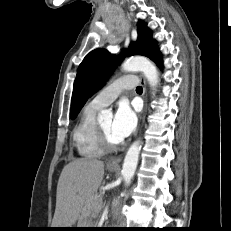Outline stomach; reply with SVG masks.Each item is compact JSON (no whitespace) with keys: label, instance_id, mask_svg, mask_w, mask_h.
Here are the masks:
<instances>
[{"label":"stomach","instance_id":"0dacf381","mask_svg":"<svg viewBox=\"0 0 231 231\" xmlns=\"http://www.w3.org/2000/svg\"><path fill=\"white\" fill-rule=\"evenodd\" d=\"M108 170L110 171V172H114V171H116L117 169L116 168H110V167H108ZM87 222H83L82 224H81V227H78V228H90V227H86L87 226ZM60 230H65V229H60Z\"/></svg>","mask_w":231,"mask_h":231}]
</instances>
